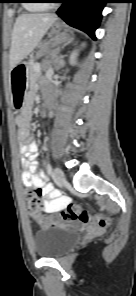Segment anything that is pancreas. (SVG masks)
Listing matches in <instances>:
<instances>
[{"label": "pancreas", "instance_id": "pancreas-1", "mask_svg": "<svg viewBox=\"0 0 136 296\" xmlns=\"http://www.w3.org/2000/svg\"><path fill=\"white\" fill-rule=\"evenodd\" d=\"M43 52L40 51L38 53V55H42ZM38 65V63H35L34 60H31L29 62V65H28V75L29 77H38L39 76V72L35 70V67Z\"/></svg>", "mask_w": 136, "mask_h": 296}]
</instances>
